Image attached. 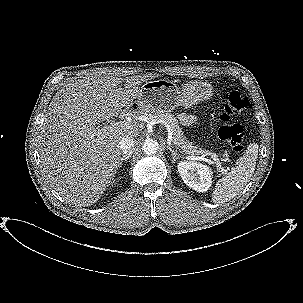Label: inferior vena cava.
I'll use <instances>...</instances> for the list:
<instances>
[{"instance_id": "1", "label": "inferior vena cava", "mask_w": 303, "mask_h": 303, "mask_svg": "<svg viewBox=\"0 0 303 303\" xmlns=\"http://www.w3.org/2000/svg\"><path fill=\"white\" fill-rule=\"evenodd\" d=\"M135 146V140L131 137H123L119 141V148L124 155H131Z\"/></svg>"}]
</instances>
